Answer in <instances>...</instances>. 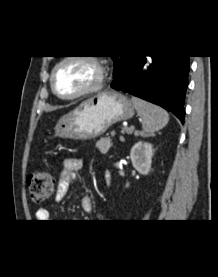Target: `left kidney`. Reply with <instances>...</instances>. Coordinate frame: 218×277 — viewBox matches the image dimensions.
I'll use <instances>...</instances> for the list:
<instances>
[{
    "mask_svg": "<svg viewBox=\"0 0 218 277\" xmlns=\"http://www.w3.org/2000/svg\"><path fill=\"white\" fill-rule=\"evenodd\" d=\"M153 157L152 144L148 142H137L130 151L133 167L142 175H147L151 169Z\"/></svg>",
    "mask_w": 218,
    "mask_h": 277,
    "instance_id": "obj_1",
    "label": "left kidney"
}]
</instances>
